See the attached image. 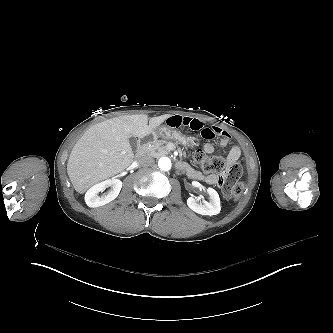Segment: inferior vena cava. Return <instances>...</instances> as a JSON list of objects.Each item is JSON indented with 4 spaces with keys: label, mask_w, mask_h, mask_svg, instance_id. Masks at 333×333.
<instances>
[{
    "label": "inferior vena cava",
    "mask_w": 333,
    "mask_h": 333,
    "mask_svg": "<svg viewBox=\"0 0 333 333\" xmlns=\"http://www.w3.org/2000/svg\"><path fill=\"white\" fill-rule=\"evenodd\" d=\"M154 162V159L150 156H142L138 159V164L141 166H153Z\"/></svg>",
    "instance_id": "inferior-vena-cava-1"
}]
</instances>
